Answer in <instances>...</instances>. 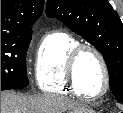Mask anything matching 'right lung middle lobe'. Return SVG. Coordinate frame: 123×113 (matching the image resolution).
Listing matches in <instances>:
<instances>
[{"mask_svg":"<svg viewBox=\"0 0 123 113\" xmlns=\"http://www.w3.org/2000/svg\"><path fill=\"white\" fill-rule=\"evenodd\" d=\"M31 35L1 39V91L28 85L26 52Z\"/></svg>","mask_w":123,"mask_h":113,"instance_id":"1","label":"right lung middle lobe"}]
</instances>
